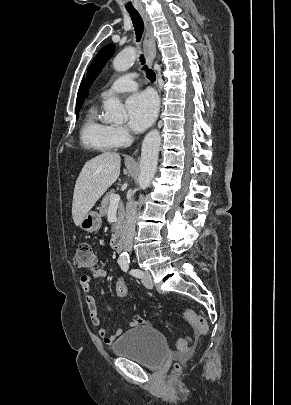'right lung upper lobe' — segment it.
Listing matches in <instances>:
<instances>
[{
    "instance_id": "obj_1",
    "label": "right lung upper lobe",
    "mask_w": 291,
    "mask_h": 405,
    "mask_svg": "<svg viewBox=\"0 0 291 405\" xmlns=\"http://www.w3.org/2000/svg\"><path fill=\"white\" fill-rule=\"evenodd\" d=\"M85 82H84V78L80 84L79 90H78V94H77V102H76V108H80L83 104L84 101V90H85Z\"/></svg>"
}]
</instances>
